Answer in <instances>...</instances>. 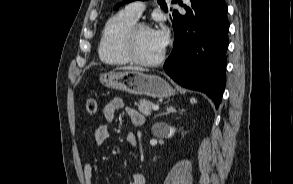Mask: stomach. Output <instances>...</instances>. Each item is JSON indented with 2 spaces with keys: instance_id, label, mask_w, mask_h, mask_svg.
<instances>
[{
  "instance_id": "1",
  "label": "stomach",
  "mask_w": 293,
  "mask_h": 184,
  "mask_svg": "<svg viewBox=\"0 0 293 184\" xmlns=\"http://www.w3.org/2000/svg\"><path fill=\"white\" fill-rule=\"evenodd\" d=\"M99 80L107 88L134 95L167 98L175 94L173 88L163 78L139 71L109 72L100 75Z\"/></svg>"
}]
</instances>
